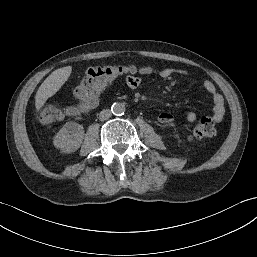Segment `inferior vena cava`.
Listing matches in <instances>:
<instances>
[{"instance_id": "1", "label": "inferior vena cava", "mask_w": 257, "mask_h": 257, "mask_svg": "<svg viewBox=\"0 0 257 257\" xmlns=\"http://www.w3.org/2000/svg\"><path fill=\"white\" fill-rule=\"evenodd\" d=\"M112 113L109 109H104L99 113V119L101 121L107 120L111 117Z\"/></svg>"}]
</instances>
